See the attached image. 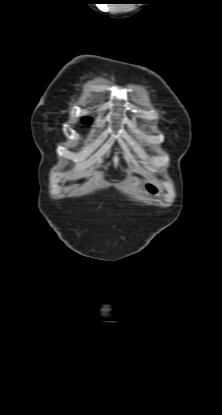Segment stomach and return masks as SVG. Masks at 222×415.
I'll list each match as a JSON object with an SVG mask.
<instances>
[{"instance_id": "stomach-1", "label": "stomach", "mask_w": 222, "mask_h": 415, "mask_svg": "<svg viewBox=\"0 0 222 415\" xmlns=\"http://www.w3.org/2000/svg\"><path fill=\"white\" fill-rule=\"evenodd\" d=\"M146 191L152 196V197H159L161 196L162 190L161 188L152 181H147L145 184Z\"/></svg>"}]
</instances>
